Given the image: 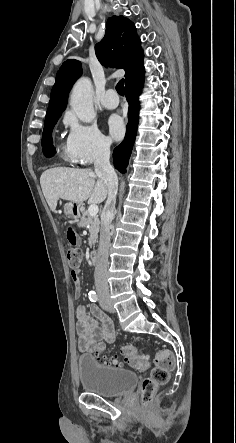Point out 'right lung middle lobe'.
<instances>
[{"label":"right lung middle lobe","mask_w":236,"mask_h":443,"mask_svg":"<svg viewBox=\"0 0 236 443\" xmlns=\"http://www.w3.org/2000/svg\"><path fill=\"white\" fill-rule=\"evenodd\" d=\"M59 116L60 115H57V116H54L48 120H45L42 142H41L43 145V151L53 148L51 135H52L53 127L55 126Z\"/></svg>","instance_id":"obj_1"}]
</instances>
